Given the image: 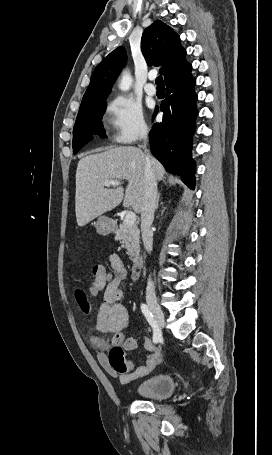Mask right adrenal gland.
<instances>
[{
	"label": "right adrenal gland",
	"mask_w": 272,
	"mask_h": 455,
	"mask_svg": "<svg viewBox=\"0 0 272 455\" xmlns=\"http://www.w3.org/2000/svg\"><path fill=\"white\" fill-rule=\"evenodd\" d=\"M159 197H160V194H158V196H157V201H156V209H157V208H158V206H159Z\"/></svg>",
	"instance_id": "obj_1"
}]
</instances>
